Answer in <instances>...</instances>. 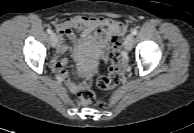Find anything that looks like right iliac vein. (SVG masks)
<instances>
[{
  "instance_id": "obj_1",
  "label": "right iliac vein",
  "mask_w": 194,
  "mask_h": 133,
  "mask_svg": "<svg viewBox=\"0 0 194 133\" xmlns=\"http://www.w3.org/2000/svg\"><path fill=\"white\" fill-rule=\"evenodd\" d=\"M50 41H51L52 47H56V45H57V36H56V34H54V33L51 34Z\"/></svg>"
}]
</instances>
